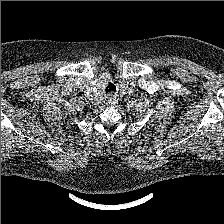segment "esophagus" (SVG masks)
Instances as JSON below:
<instances>
[{
	"label": "esophagus",
	"mask_w": 224,
	"mask_h": 224,
	"mask_svg": "<svg viewBox=\"0 0 224 224\" xmlns=\"http://www.w3.org/2000/svg\"><path fill=\"white\" fill-rule=\"evenodd\" d=\"M115 101H116V99H115L114 97H110V98L108 99V103H109V104H114Z\"/></svg>",
	"instance_id": "34e87169"
}]
</instances>
